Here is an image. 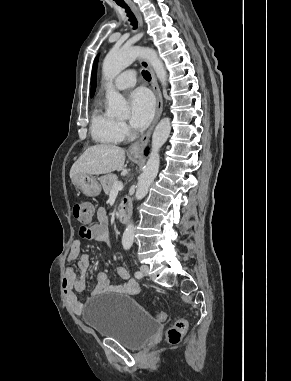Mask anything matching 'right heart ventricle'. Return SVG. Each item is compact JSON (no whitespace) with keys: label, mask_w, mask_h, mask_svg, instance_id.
<instances>
[{"label":"right heart ventricle","mask_w":291,"mask_h":381,"mask_svg":"<svg viewBox=\"0 0 291 381\" xmlns=\"http://www.w3.org/2000/svg\"><path fill=\"white\" fill-rule=\"evenodd\" d=\"M90 131L92 138L100 144H118L124 139L120 123L106 113L101 104H96L91 112Z\"/></svg>","instance_id":"1"}]
</instances>
